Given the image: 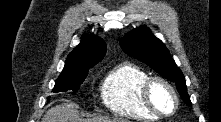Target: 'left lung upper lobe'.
Here are the masks:
<instances>
[{
  "mask_svg": "<svg viewBox=\"0 0 221 122\" xmlns=\"http://www.w3.org/2000/svg\"><path fill=\"white\" fill-rule=\"evenodd\" d=\"M120 45L129 56L146 63L162 77L175 82L184 102L192 106L185 77L171 58L168 49L149 28L146 26L135 28L121 39Z\"/></svg>",
  "mask_w": 221,
  "mask_h": 122,
  "instance_id": "obj_1",
  "label": "left lung upper lobe"
}]
</instances>
